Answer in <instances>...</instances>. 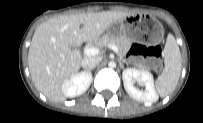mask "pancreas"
Wrapping results in <instances>:
<instances>
[{
	"label": "pancreas",
	"mask_w": 203,
	"mask_h": 123,
	"mask_svg": "<svg viewBox=\"0 0 203 123\" xmlns=\"http://www.w3.org/2000/svg\"><path fill=\"white\" fill-rule=\"evenodd\" d=\"M94 43L98 46H104L106 43L114 44L118 47V52L121 55L126 54L131 46L130 41L123 35L113 36L110 34H104L97 38Z\"/></svg>",
	"instance_id": "pancreas-1"
}]
</instances>
